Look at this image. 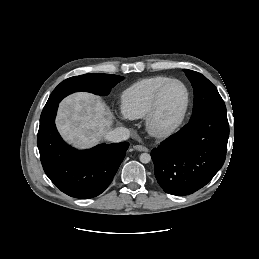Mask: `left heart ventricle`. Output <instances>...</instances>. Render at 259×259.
I'll return each mask as SVG.
<instances>
[{
	"instance_id": "left-heart-ventricle-1",
	"label": "left heart ventricle",
	"mask_w": 259,
	"mask_h": 259,
	"mask_svg": "<svg viewBox=\"0 0 259 259\" xmlns=\"http://www.w3.org/2000/svg\"><path fill=\"white\" fill-rule=\"evenodd\" d=\"M186 100V93L179 83L169 84L163 91L156 123L166 127L174 123L180 116Z\"/></svg>"
}]
</instances>
